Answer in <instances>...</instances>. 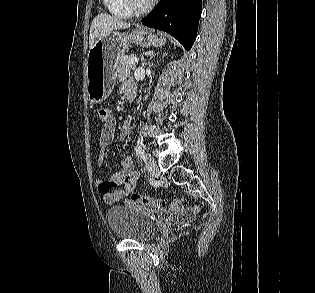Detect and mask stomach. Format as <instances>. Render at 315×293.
Instances as JSON below:
<instances>
[{
    "label": "stomach",
    "instance_id": "0dacf381",
    "mask_svg": "<svg viewBox=\"0 0 315 293\" xmlns=\"http://www.w3.org/2000/svg\"><path fill=\"white\" fill-rule=\"evenodd\" d=\"M165 37L145 27H136L129 33L111 32L99 38L89 49L87 57V97L91 103H100L112 92L118 61L131 43L142 47H161Z\"/></svg>",
    "mask_w": 315,
    "mask_h": 293
}]
</instances>
